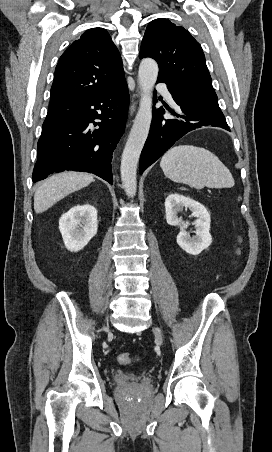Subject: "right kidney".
Instances as JSON below:
<instances>
[{
    "mask_svg": "<svg viewBox=\"0 0 272 452\" xmlns=\"http://www.w3.org/2000/svg\"><path fill=\"white\" fill-rule=\"evenodd\" d=\"M97 229V210L90 204L72 207L59 220L65 247L72 252L83 249L97 234Z\"/></svg>",
    "mask_w": 272,
    "mask_h": 452,
    "instance_id": "right-kidney-1",
    "label": "right kidney"
}]
</instances>
